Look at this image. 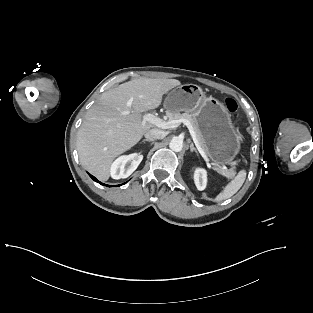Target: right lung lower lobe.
I'll return each mask as SVG.
<instances>
[{
    "label": "right lung lower lobe",
    "mask_w": 313,
    "mask_h": 313,
    "mask_svg": "<svg viewBox=\"0 0 313 313\" xmlns=\"http://www.w3.org/2000/svg\"><path fill=\"white\" fill-rule=\"evenodd\" d=\"M89 175H90V174H89ZM90 177H91L94 181L100 183L101 185H105V186H109V187H110V185H106V184H103V183L99 182L94 176L90 175Z\"/></svg>",
    "instance_id": "1"
}]
</instances>
